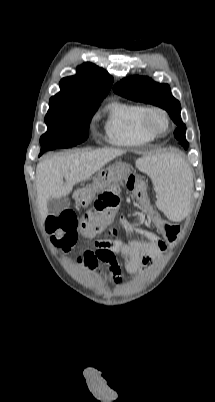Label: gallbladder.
<instances>
[{
  "mask_svg": "<svg viewBox=\"0 0 215 402\" xmlns=\"http://www.w3.org/2000/svg\"><path fill=\"white\" fill-rule=\"evenodd\" d=\"M70 202L66 196H63L58 199H49L47 201L48 212L53 215H58L62 211L69 208Z\"/></svg>",
  "mask_w": 215,
  "mask_h": 402,
  "instance_id": "1",
  "label": "gallbladder"
}]
</instances>
